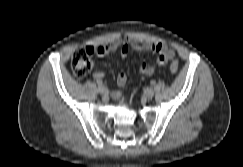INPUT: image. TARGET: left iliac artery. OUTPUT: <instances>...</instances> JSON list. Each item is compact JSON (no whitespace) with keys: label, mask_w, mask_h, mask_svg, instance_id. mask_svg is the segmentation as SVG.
I'll return each instance as SVG.
<instances>
[{"label":"left iliac artery","mask_w":243,"mask_h":167,"mask_svg":"<svg viewBox=\"0 0 243 167\" xmlns=\"http://www.w3.org/2000/svg\"><path fill=\"white\" fill-rule=\"evenodd\" d=\"M155 83H156V82H155L154 80L151 81V85H155Z\"/></svg>","instance_id":"1"}]
</instances>
